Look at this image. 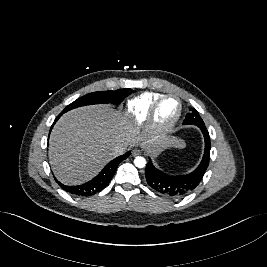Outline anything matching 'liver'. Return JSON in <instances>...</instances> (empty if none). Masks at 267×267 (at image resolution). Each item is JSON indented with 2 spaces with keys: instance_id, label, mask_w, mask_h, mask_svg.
<instances>
[{
  "instance_id": "6515ba94",
  "label": "liver",
  "mask_w": 267,
  "mask_h": 267,
  "mask_svg": "<svg viewBox=\"0 0 267 267\" xmlns=\"http://www.w3.org/2000/svg\"><path fill=\"white\" fill-rule=\"evenodd\" d=\"M138 142L153 154L181 146L175 138H148L108 105L86 106L67 112L56 123L50 136L49 160L62 183L81 184L116 157V145L128 148Z\"/></svg>"
}]
</instances>
